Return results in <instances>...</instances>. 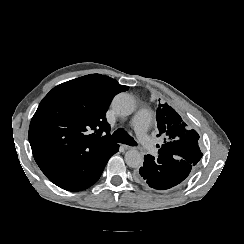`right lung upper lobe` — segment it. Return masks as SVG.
<instances>
[{"instance_id": "1", "label": "right lung upper lobe", "mask_w": 244, "mask_h": 244, "mask_svg": "<svg viewBox=\"0 0 244 244\" xmlns=\"http://www.w3.org/2000/svg\"><path fill=\"white\" fill-rule=\"evenodd\" d=\"M128 88L100 74L86 75L53 88L35 112L28 135L33 156L43 173L115 144L109 139L105 113L112 98ZM104 131L107 134L101 137Z\"/></svg>"}]
</instances>
